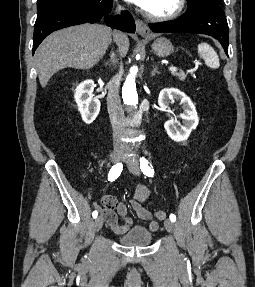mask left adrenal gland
I'll return each instance as SVG.
<instances>
[{
    "instance_id": "obj_1",
    "label": "left adrenal gland",
    "mask_w": 255,
    "mask_h": 287,
    "mask_svg": "<svg viewBox=\"0 0 255 287\" xmlns=\"http://www.w3.org/2000/svg\"><path fill=\"white\" fill-rule=\"evenodd\" d=\"M157 70H158L157 66H154V70L153 72H151V76H155Z\"/></svg>"
}]
</instances>
